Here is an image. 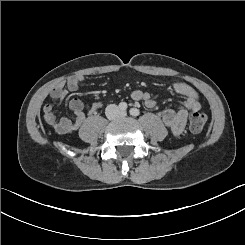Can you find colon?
Wrapping results in <instances>:
<instances>
[{
  "mask_svg": "<svg viewBox=\"0 0 245 245\" xmlns=\"http://www.w3.org/2000/svg\"><path fill=\"white\" fill-rule=\"evenodd\" d=\"M208 121V116L202 112H193L190 116L189 128L192 132H201Z\"/></svg>",
  "mask_w": 245,
  "mask_h": 245,
  "instance_id": "colon-1",
  "label": "colon"
}]
</instances>
